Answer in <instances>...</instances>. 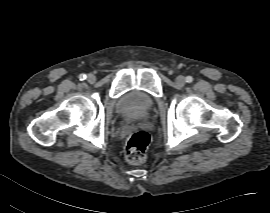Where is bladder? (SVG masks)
<instances>
[{"label":"bladder","mask_w":270,"mask_h":213,"mask_svg":"<svg viewBox=\"0 0 270 213\" xmlns=\"http://www.w3.org/2000/svg\"><path fill=\"white\" fill-rule=\"evenodd\" d=\"M156 105L155 98L147 92L132 90L121 95L115 102V110L124 118L144 116Z\"/></svg>","instance_id":"bladder-1"}]
</instances>
